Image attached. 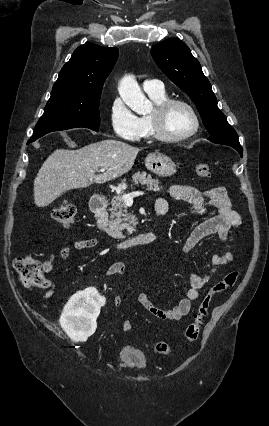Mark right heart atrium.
<instances>
[{"mask_svg": "<svg viewBox=\"0 0 269 426\" xmlns=\"http://www.w3.org/2000/svg\"><path fill=\"white\" fill-rule=\"evenodd\" d=\"M109 122L113 133L124 140L135 141L141 137L139 118L118 96L109 105Z\"/></svg>", "mask_w": 269, "mask_h": 426, "instance_id": "d8ad5b80", "label": "right heart atrium"}]
</instances>
